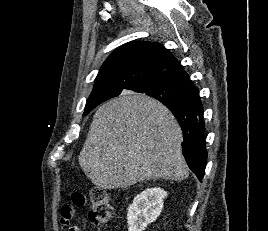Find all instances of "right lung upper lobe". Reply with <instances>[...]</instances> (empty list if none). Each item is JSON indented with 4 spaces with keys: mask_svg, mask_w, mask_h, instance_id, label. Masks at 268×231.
<instances>
[{
    "mask_svg": "<svg viewBox=\"0 0 268 231\" xmlns=\"http://www.w3.org/2000/svg\"><path fill=\"white\" fill-rule=\"evenodd\" d=\"M158 81L191 92L193 87L178 60L157 42L134 41L116 49L103 63L95 79L94 88L87 103H102L110 98L102 96L108 88L130 89L142 81ZM164 104L171 103L162 101Z\"/></svg>",
    "mask_w": 268,
    "mask_h": 231,
    "instance_id": "right-lung-upper-lobe-1",
    "label": "right lung upper lobe"
}]
</instances>
